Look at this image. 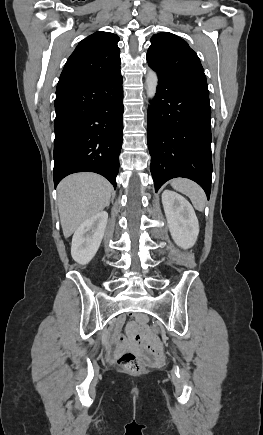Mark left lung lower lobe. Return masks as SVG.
Masks as SVG:
<instances>
[{"instance_id": "obj_1", "label": "left lung lower lobe", "mask_w": 263, "mask_h": 435, "mask_svg": "<svg viewBox=\"0 0 263 435\" xmlns=\"http://www.w3.org/2000/svg\"><path fill=\"white\" fill-rule=\"evenodd\" d=\"M158 79L147 114L155 190L169 179L185 177L197 182L209 198L213 168L208 88L161 74Z\"/></svg>"}]
</instances>
